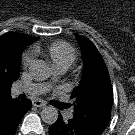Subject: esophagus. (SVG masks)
Instances as JSON below:
<instances>
[{"instance_id": "1", "label": "esophagus", "mask_w": 135, "mask_h": 135, "mask_svg": "<svg viewBox=\"0 0 135 135\" xmlns=\"http://www.w3.org/2000/svg\"><path fill=\"white\" fill-rule=\"evenodd\" d=\"M33 105L35 107H40V108L46 107V103L44 101L38 100V99L33 101Z\"/></svg>"}]
</instances>
